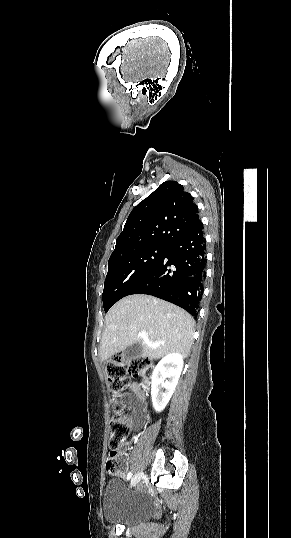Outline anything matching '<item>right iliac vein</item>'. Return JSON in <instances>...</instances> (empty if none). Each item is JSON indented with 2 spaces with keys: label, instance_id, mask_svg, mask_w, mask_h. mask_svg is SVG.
<instances>
[{
  "label": "right iliac vein",
  "instance_id": "right-iliac-vein-1",
  "mask_svg": "<svg viewBox=\"0 0 291 538\" xmlns=\"http://www.w3.org/2000/svg\"><path fill=\"white\" fill-rule=\"evenodd\" d=\"M142 475H143V472H139L138 474H136V475L133 477L132 481H131V485H132V486H135V485L141 480Z\"/></svg>",
  "mask_w": 291,
  "mask_h": 538
}]
</instances>
